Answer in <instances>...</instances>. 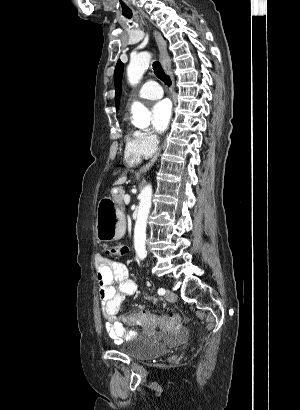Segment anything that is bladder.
Masks as SVG:
<instances>
[{"mask_svg": "<svg viewBox=\"0 0 300 410\" xmlns=\"http://www.w3.org/2000/svg\"><path fill=\"white\" fill-rule=\"evenodd\" d=\"M166 346L159 341H136L126 348L127 355L133 360H146L165 352Z\"/></svg>", "mask_w": 300, "mask_h": 410, "instance_id": "31cf9c89", "label": "bladder"}]
</instances>
